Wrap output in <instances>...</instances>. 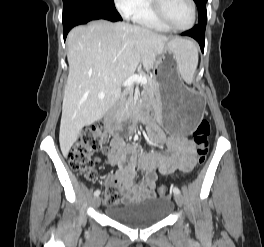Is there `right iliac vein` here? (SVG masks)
I'll list each match as a JSON object with an SVG mask.
<instances>
[{
    "instance_id": "1",
    "label": "right iliac vein",
    "mask_w": 264,
    "mask_h": 247,
    "mask_svg": "<svg viewBox=\"0 0 264 247\" xmlns=\"http://www.w3.org/2000/svg\"><path fill=\"white\" fill-rule=\"evenodd\" d=\"M100 205V197H95L93 199V206L97 208Z\"/></svg>"
}]
</instances>
